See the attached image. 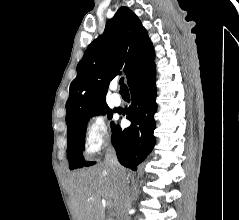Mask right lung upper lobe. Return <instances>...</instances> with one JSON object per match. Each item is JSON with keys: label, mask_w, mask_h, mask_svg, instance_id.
Listing matches in <instances>:
<instances>
[{"label": "right lung upper lobe", "mask_w": 239, "mask_h": 220, "mask_svg": "<svg viewBox=\"0 0 239 220\" xmlns=\"http://www.w3.org/2000/svg\"><path fill=\"white\" fill-rule=\"evenodd\" d=\"M154 57V48L141 21L129 8H119L77 65V76L70 84L66 103L67 126L107 106L109 80L123 70L128 83L134 75L151 66Z\"/></svg>", "instance_id": "cb5924a9"}]
</instances>
